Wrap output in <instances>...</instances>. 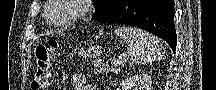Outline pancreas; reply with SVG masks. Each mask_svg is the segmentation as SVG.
I'll list each match as a JSON object with an SVG mask.
<instances>
[{
	"instance_id": "cf45deb5",
	"label": "pancreas",
	"mask_w": 216,
	"mask_h": 90,
	"mask_svg": "<svg viewBox=\"0 0 216 90\" xmlns=\"http://www.w3.org/2000/svg\"><path fill=\"white\" fill-rule=\"evenodd\" d=\"M94 66L99 72V74H104V72H110L109 64H102V62H94Z\"/></svg>"
}]
</instances>
